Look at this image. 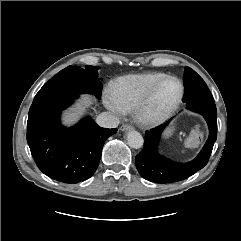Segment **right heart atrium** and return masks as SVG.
<instances>
[{"label":"right heart atrium","mask_w":241,"mask_h":241,"mask_svg":"<svg viewBox=\"0 0 241 241\" xmlns=\"http://www.w3.org/2000/svg\"><path fill=\"white\" fill-rule=\"evenodd\" d=\"M103 102L106 108L117 116H122L126 113V110L116 100L111 91L104 93Z\"/></svg>","instance_id":"right-heart-atrium-1"}]
</instances>
